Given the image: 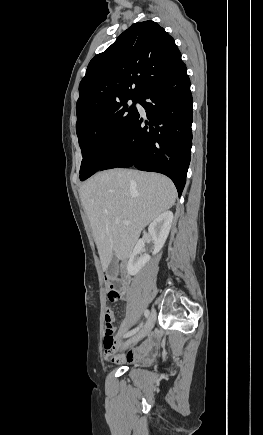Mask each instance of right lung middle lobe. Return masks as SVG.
I'll return each instance as SVG.
<instances>
[{
	"label": "right lung middle lobe",
	"instance_id": "dd1d6c3e",
	"mask_svg": "<svg viewBox=\"0 0 263 435\" xmlns=\"http://www.w3.org/2000/svg\"><path fill=\"white\" fill-rule=\"evenodd\" d=\"M114 103L77 127V136L83 160L80 180L83 181L97 172L121 144L138 115L134 105L128 101ZM133 103L139 99H132Z\"/></svg>",
	"mask_w": 263,
	"mask_h": 435
}]
</instances>
